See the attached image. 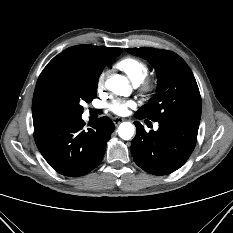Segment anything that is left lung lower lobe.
Returning <instances> with one entry per match:
<instances>
[{
    "label": "left lung lower lobe",
    "instance_id": "left-lung-lower-lobe-1",
    "mask_svg": "<svg viewBox=\"0 0 233 233\" xmlns=\"http://www.w3.org/2000/svg\"><path fill=\"white\" fill-rule=\"evenodd\" d=\"M199 122L187 118L166 119L158 121L157 131L148 133L135 122L137 133L131 142L135 163L154 175H166L179 169L194 150Z\"/></svg>",
    "mask_w": 233,
    "mask_h": 233
}]
</instances>
